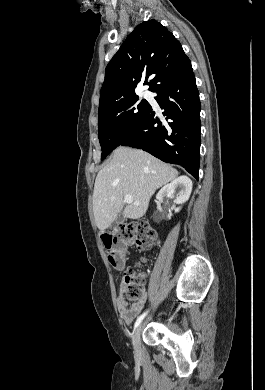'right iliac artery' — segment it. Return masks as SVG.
Masks as SVG:
<instances>
[{"label": "right iliac artery", "mask_w": 265, "mask_h": 390, "mask_svg": "<svg viewBox=\"0 0 265 390\" xmlns=\"http://www.w3.org/2000/svg\"><path fill=\"white\" fill-rule=\"evenodd\" d=\"M147 312H148V311L144 312L142 315H140V316L137 318V320H136V322H135V325H134V328H136V327L139 326V324L142 322V320L144 319V317L147 315Z\"/></svg>", "instance_id": "obj_1"}]
</instances>
